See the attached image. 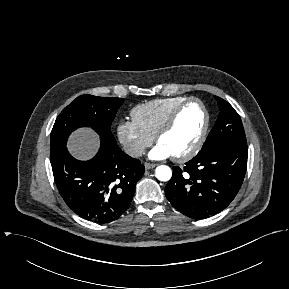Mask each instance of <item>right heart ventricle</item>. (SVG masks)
Instances as JSON below:
<instances>
[{"instance_id":"obj_1","label":"right heart ventricle","mask_w":289,"mask_h":289,"mask_svg":"<svg viewBox=\"0 0 289 289\" xmlns=\"http://www.w3.org/2000/svg\"><path fill=\"white\" fill-rule=\"evenodd\" d=\"M186 99L184 96L154 99L135 106L131 115L145 132L155 137L172 111Z\"/></svg>"}]
</instances>
